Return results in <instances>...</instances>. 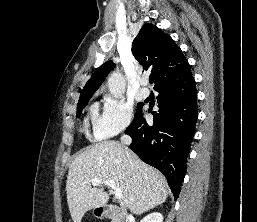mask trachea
<instances>
[{
	"instance_id": "3493384b",
	"label": "trachea",
	"mask_w": 257,
	"mask_h": 222,
	"mask_svg": "<svg viewBox=\"0 0 257 222\" xmlns=\"http://www.w3.org/2000/svg\"><path fill=\"white\" fill-rule=\"evenodd\" d=\"M153 82H154V78H153V76H150L149 77V83L152 84Z\"/></svg>"
}]
</instances>
